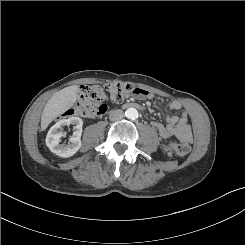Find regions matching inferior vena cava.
Returning a JSON list of instances; mask_svg holds the SVG:
<instances>
[{
  "label": "inferior vena cava",
  "instance_id": "1",
  "mask_svg": "<svg viewBox=\"0 0 245 245\" xmlns=\"http://www.w3.org/2000/svg\"><path fill=\"white\" fill-rule=\"evenodd\" d=\"M124 117V112L120 109L112 110L109 114V119L111 121H117Z\"/></svg>",
  "mask_w": 245,
  "mask_h": 245
}]
</instances>
